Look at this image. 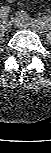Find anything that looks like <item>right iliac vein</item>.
Returning a JSON list of instances; mask_svg holds the SVG:
<instances>
[{
    "label": "right iliac vein",
    "mask_w": 51,
    "mask_h": 153,
    "mask_svg": "<svg viewBox=\"0 0 51 153\" xmlns=\"http://www.w3.org/2000/svg\"><path fill=\"white\" fill-rule=\"evenodd\" d=\"M11 28H12V24L9 21L5 20L2 22L1 29L5 31H9Z\"/></svg>",
    "instance_id": "63e3f726"
}]
</instances>
